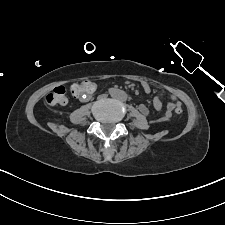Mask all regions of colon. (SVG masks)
<instances>
[{
  "instance_id": "1",
  "label": "colon",
  "mask_w": 225,
  "mask_h": 225,
  "mask_svg": "<svg viewBox=\"0 0 225 225\" xmlns=\"http://www.w3.org/2000/svg\"><path fill=\"white\" fill-rule=\"evenodd\" d=\"M94 89V83L90 81H83L81 83H75L71 86V94L74 96L81 95L83 93H88ZM46 102L49 105H65L68 102L66 96V89L64 86H58L54 88L46 97ZM175 113L180 115L183 113L181 106L175 107Z\"/></svg>"
}]
</instances>
